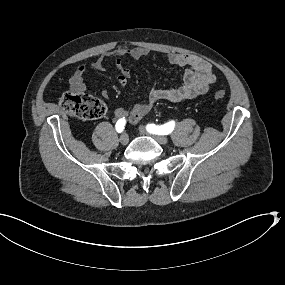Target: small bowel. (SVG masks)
I'll use <instances>...</instances> for the list:
<instances>
[{
    "label": "small bowel",
    "mask_w": 285,
    "mask_h": 285,
    "mask_svg": "<svg viewBox=\"0 0 285 285\" xmlns=\"http://www.w3.org/2000/svg\"><path fill=\"white\" fill-rule=\"evenodd\" d=\"M148 54L149 50L142 47L130 48L121 46L111 52L102 54L92 64V68L95 71H103L107 62L113 59L119 71L118 82L121 86H125L130 73L128 68L123 64L122 58L128 56L138 60L146 57ZM167 59L172 65L187 67L183 84L178 88H153L144 102L137 103L132 108L122 106L115 109L114 115L117 119L130 115V122L137 124L151 111L158 101L165 100L178 103L194 99L199 95L207 93L216 80L211 64L201 57L192 54L169 53ZM86 71L85 66H80L71 76L69 83L72 91L82 92L85 90L84 76ZM101 95L104 98L109 97V93L105 89L101 91Z\"/></svg>",
    "instance_id": "1"
}]
</instances>
